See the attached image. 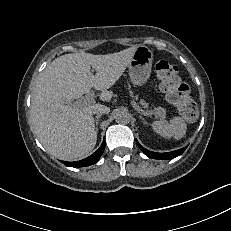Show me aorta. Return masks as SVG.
<instances>
[{"instance_id":"obj_1","label":"aorta","mask_w":231,"mask_h":231,"mask_svg":"<svg viewBox=\"0 0 231 231\" xmlns=\"http://www.w3.org/2000/svg\"><path fill=\"white\" fill-rule=\"evenodd\" d=\"M131 116L128 112L126 111H119L117 112L116 116H115V121L118 124H128L130 122Z\"/></svg>"}]
</instances>
